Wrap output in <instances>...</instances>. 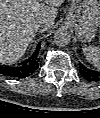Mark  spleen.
Here are the masks:
<instances>
[{"label": "spleen", "mask_w": 100, "mask_h": 118, "mask_svg": "<svg viewBox=\"0 0 100 118\" xmlns=\"http://www.w3.org/2000/svg\"><path fill=\"white\" fill-rule=\"evenodd\" d=\"M82 51L86 57V60L91 63L94 67H100V48L83 45Z\"/></svg>", "instance_id": "3e777b00"}]
</instances>
